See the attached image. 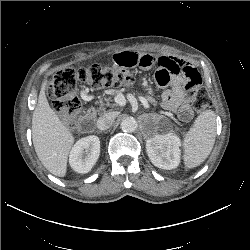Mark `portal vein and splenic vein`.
Returning a JSON list of instances; mask_svg holds the SVG:
<instances>
[{
    "mask_svg": "<svg viewBox=\"0 0 250 250\" xmlns=\"http://www.w3.org/2000/svg\"><path fill=\"white\" fill-rule=\"evenodd\" d=\"M116 102L119 106H124L126 103V99L123 95H119L116 97Z\"/></svg>",
    "mask_w": 250,
    "mask_h": 250,
    "instance_id": "portal-vein-and-splenic-vein-1",
    "label": "portal vein and splenic vein"
}]
</instances>
